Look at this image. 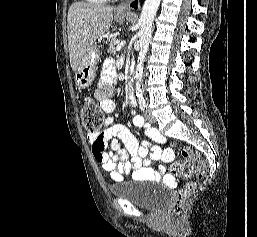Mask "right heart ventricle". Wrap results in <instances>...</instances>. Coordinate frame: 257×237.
Returning a JSON list of instances; mask_svg holds the SVG:
<instances>
[{"mask_svg": "<svg viewBox=\"0 0 257 237\" xmlns=\"http://www.w3.org/2000/svg\"><path fill=\"white\" fill-rule=\"evenodd\" d=\"M106 0H86V2L90 3V4H101L103 2H105Z\"/></svg>", "mask_w": 257, "mask_h": 237, "instance_id": "obj_1", "label": "right heart ventricle"}]
</instances>
